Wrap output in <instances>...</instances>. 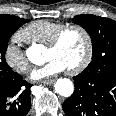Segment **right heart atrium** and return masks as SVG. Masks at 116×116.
Masks as SVG:
<instances>
[{
  "instance_id": "1",
  "label": "right heart atrium",
  "mask_w": 116,
  "mask_h": 116,
  "mask_svg": "<svg viewBox=\"0 0 116 116\" xmlns=\"http://www.w3.org/2000/svg\"><path fill=\"white\" fill-rule=\"evenodd\" d=\"M22 41L21 35L19 33L15 34L7 43L3 52L6 65L18 74H24L30 69V62L21 48Z\"/></svg>"
}]
</instances>
